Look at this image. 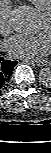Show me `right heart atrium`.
Segmentation results:
<instances>
[{"mask_svg":"<svg viewBox=\"0 0 51 153\" xmlns=\"http://www.w3.org/2000/svg\"><path fill=\"white\" fill-rule=\"evenodd\" d=\"M12 31L11 8L5 0L0 5V33L8 35Z\"/></svg>","mask_w":51,"mask_h":153,"instance_id":"1","label":"right heart atrium"}]
</instances>
